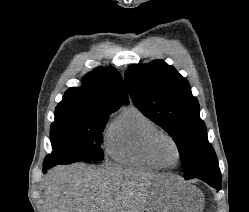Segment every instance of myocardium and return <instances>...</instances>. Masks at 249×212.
Here are the masks:
<instances>
[{"instance_id":"f54148a6","label":"myocardium","mask_w":249,"mask_h":212,"mask_svg":"<svg viewBox=\"0 0 249 212\" xmlns=\"http://www.w3.org/2000/svg\"><path fill=\"white\" fill-rule=\"evenodd\" d=\"M162 140H168L175 148L176 153H177L176 163H174V164L166 163L159 156L158 144ZM148 152H149V155L152 158V160L157 165H159L160 167H163V168H174L177 165H179L181 160H182V150H181L179 143L172 135H170L166 132H163V131H158L154 135L151 136V138L148 142Z\"/></svg>"}]
</instances>
